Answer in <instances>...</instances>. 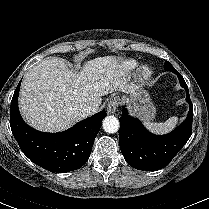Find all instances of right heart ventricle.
Listing matches in <instances>:
<instances>
[{
  "label": "right heart ventricle",
  "instance_id": "right-heart-ventricle-1",
  "mask_svg": "<svg viewBox=\"0 0 209 209\" xmlns=\"http://www.w3.org/2000/svg\"><path fill=\"white\" fill-rule=\"evenodd\" d=\"M137 67V62L135 60H127L123 63V69L127 72L133 71Z\"/></svg>",
  "mask_w": 209,
  "mask_h": 209
}]
</instances>
